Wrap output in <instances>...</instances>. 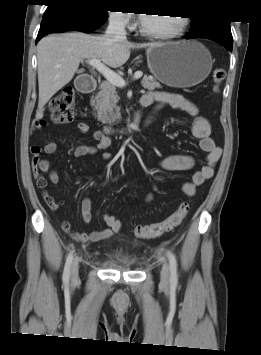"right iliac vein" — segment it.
<instances>
[{
	"label": "right iliac vein",
	"mask_w": 261,
	"mask_h": 355,
	"mask_svg": "<svg viewBox=\"0 0 261 355\" xmlns=\"http://www.w3.org/2000/svg\"><path fill=\"white\" fill-rule=\"evenodd\" d=\"M71 283L74 285L78 282L79 279V261L75 259L71 266Z\"/></svg>",
	"instance_id": "obj_1"
}]
</instances>
